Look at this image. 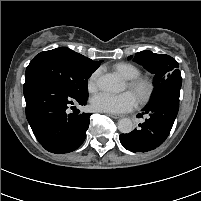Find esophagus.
I'll return each mask as SVG.
<instances>
[{
    "instance_id": "obj_1",
    "label": "esophagus",
    "mask_w": 201,
    "mask_h": 201,
    "mask_svg": "<svg viewBox=\"0 0 201 201\" xmlns=\"http://www.w3.org/2000/svg\"><path fill=\"white\" fill-rule=\"evenodd\" d=\"M110 117L114 118V119H119L121 118V115H116V114H108Z\"/></svg>"
}]
</instances>
